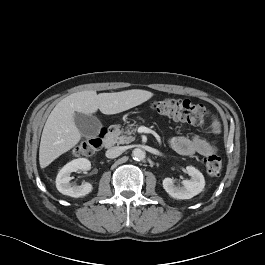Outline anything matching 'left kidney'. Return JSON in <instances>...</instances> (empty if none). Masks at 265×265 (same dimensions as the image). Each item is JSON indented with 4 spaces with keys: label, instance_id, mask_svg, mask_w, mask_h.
Instances as JSON below:
<instances>
[{
    "label": "left kidney",
    "instance_id": "1",
    "mask_svg": "<svg viewBox=\"0 0 265 265\" xmlns=\"http://www.w3.org/2000/svg\"><path fill=\"white\" fill-rule=\"evenodd\" d=\"M187 173L191 176L190 180H183L182 186H177L171 178L163 180V188L175 199H190L201 193L205 186L203 174L193 166L186 167Z\"/></svg>",
    "mask_w": 265,
    "mask_h": 265
}]
</instances>
